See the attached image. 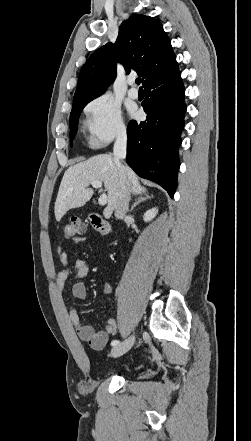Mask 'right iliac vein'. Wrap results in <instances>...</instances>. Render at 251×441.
Instances as JSON below:
<instances>
[{
  "instance_id": "right-iliac-vein-1",
  "label": "right iliac vein",
  "mask_w": 251,
  "mask_h": 441,
  "mask_svg": "<svg viewBox=\"0 0 251 441\" xmlns=\"http://www.w3.org/2000/svg\"><path fill=\"white\" fill-rule=\"evenodd\" d=\"M135 342V335L130 336L127 340H125L122 344L115 346L111 350V356L114 358L120 357L125 354L127 351L131 349Z\"/></svg>"
}]
</instances>
